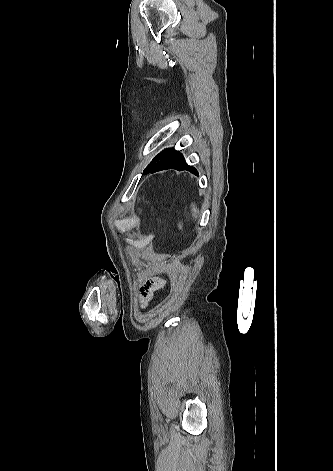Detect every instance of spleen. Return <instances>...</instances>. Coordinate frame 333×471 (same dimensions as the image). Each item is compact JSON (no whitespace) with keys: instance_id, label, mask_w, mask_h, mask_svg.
Listing matches in <instances>:
<instances>
[{"instance_id":"spleen-1","label":"spleen","mask_w":333,"mask_h":471,"mask_svg":"<svg viewBox=\"0 0 333 471\" xmlns=\"http://www.w3.org/2000/svg\"><path fill=\"white\" fill-rule=\"evenodd\" d=\"M192 210L194 212V216L195 218L197 217V214L199 213V210L196 208V206L194 204H192Z\"/></svg>"}]
</instances>
